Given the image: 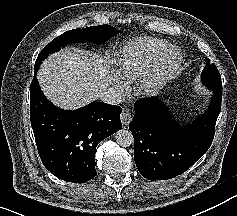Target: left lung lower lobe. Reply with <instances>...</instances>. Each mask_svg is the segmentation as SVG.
I'll return each instance as SVG.
<instances>
[{"label":"left lung lower lobe","mask_w":237,"mask_h":216,"mask_svg":"<svg viewBox=\"0 0 237 216\" xmlns=\"http://www.w3.org/2000/svg\"><path fill=\"white\" fill-rule=\"evenodd\" d=\"M221 100L222 92L214 93L208 110L189 127L177 125L157 97L136 101L129 129L141 175L153 181L171 179L200 159L214 138Z\"/></svg>","instance_id":"left-lung-lower-lobe-1"}]
</instances>
